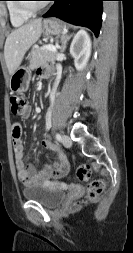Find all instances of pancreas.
Returning <instances> with one entry per match:
<instances>
[{
  "mask_svg": "<svg viewBox=\"0 0 133 253\" xmlns=\"http://www.w3.org/2000/svg\"><path fill=\"white\" fill-rule=\"evenodd\" d=\"M56 53L43 48H34L31 51L30 69H35L47 62L55 63Z\"/></svg>",
  "mask_w": 133,
  "mask_h": 253,
  "instance_id": "cf45deb5",
  "label": "pancreas"
}]
</instances>
